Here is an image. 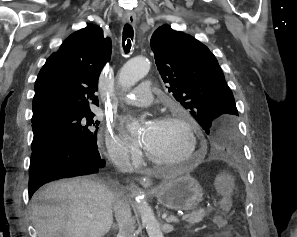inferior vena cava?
<instances>
[{
  "instance_id": "602c4592",
  "label": "inferior vena cava",
  "mask_w": 297,
  "mask_h": 237,
  "mask_svg": "<svg viewBox=\"0 0 297 237\" xmlns=\"http://www.w3.org/2000/svg\"><path fill=\"white\" fill-rule=\"evenodd\" d=\"M126 171V169H122ZM113 208L119 227L120 237H137L135 233V221L132 218L131 208L127 201L118 195L114 197Z\"/></svg>"
}]
</instances>
